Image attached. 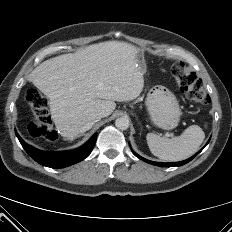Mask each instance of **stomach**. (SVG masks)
Wrapping results in <instances>:
<instances>
[{"instance_id":"stomach-1","label":"stomach","mask_w":232,"mask_h":232,"mask_svg":"<svg viewBox=\"0 0 232 232\" xmlns=\"http://www.w3.org/2000/svg\"><path fill=\"white\" fill-rule=\"evenodd\" d=\"M145 103L154 126L164 130L177 127L181 110L178 100L169 89L163 86L152 88Z\"/></svg>"}]
</instances>
